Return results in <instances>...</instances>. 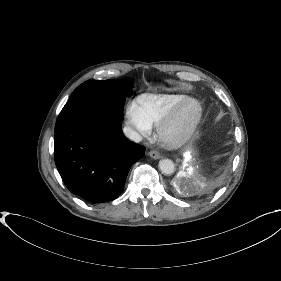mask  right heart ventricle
I'll return each mask as SVG.
<instances>
[{"mask_svg": "<svg viewBox=\"0 0 281 281\" xmlns=\"http://www.w3.org/2000/svg\"><path fill=\"white\" fill-rule=\"evenodd\" d=\"M186 95L176 93H146L137 97L136 105L143 121L151 128L159 126L170 111Z\"/></svg>", "mask_w": 281, "mask_h": 281, "instance_id": "1", "label": "right heart ventricle"}]
</instances>
